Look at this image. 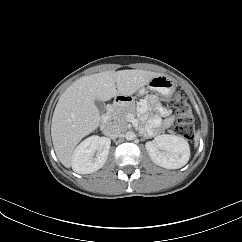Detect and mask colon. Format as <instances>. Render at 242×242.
<instances>
[{"instance_id":"obj_1","label":"colon","mask_w":242,"mask_h":242,"mask_svg":"<svg viewBox=\"0 0 242 242\" xmlns=\"http://www.w3.org/2000/svg\"><path fill=\"white\" fill-rule=\"evenodd\" d=\"M171 102L176 113V133L186 139H192L194 135V120L186 97L178 92L173 96Z\"/></svg>"}]
</instances>
